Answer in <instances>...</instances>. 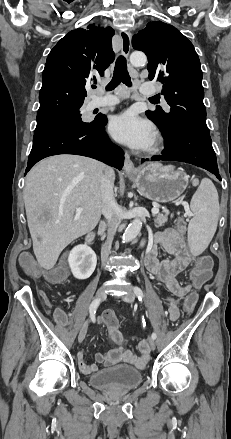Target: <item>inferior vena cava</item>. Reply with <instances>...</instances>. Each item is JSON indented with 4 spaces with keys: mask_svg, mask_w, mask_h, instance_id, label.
<instances>
[{
    "mask_svg": "<svg viewBox=\"0 0 231 439\" xmlns=\"http://www.w3.org/2000/svg\"><path fill=\"white\" fill-rule=\"evenodd\" d=\"M111 169L109 167L104 168V173L100 177L101 188V212L107 220V240L101 248V261L105 265L108 256L110 254L112 241L119 225V218L117 215V203L113 193V181L111 178Z\"/></svg>",
    "mask_w": 231,
    "mask_h": 439,
    "instance_id": "602c4592",
    "label": "inferior vena cava"
}]
</instances>
